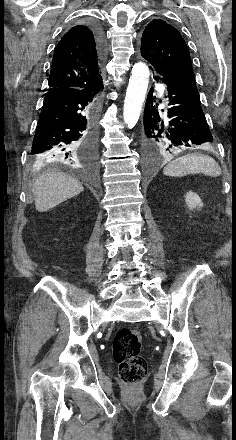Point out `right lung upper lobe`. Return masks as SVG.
I'll return each mask as SVG.
<instances>
[{"label":"right lung upper lobe","instance_id":"right-lung-upper-lobe-1","mask_svg":"<svg viewBox=\"0 0 236 440\" xmlns=\"http://www.w3.org/2000/svg\"><path fill=\"white\" fill-rule=\"evenodd\" d=\"M102 63L91 27L74 26L56 46L47 90L81 89L96 84L102 80Z\"/></svg>","mask_w":236,"mask_h":440}]
</instances>
